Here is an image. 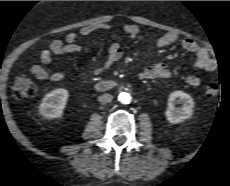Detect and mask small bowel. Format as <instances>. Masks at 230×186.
Returning a JSON list of instances; mask_svg holds the SVG:
<instances>
[{"label": "small bowel", "instance_id": "obj_1", "mask_svg": "<svg viewBox=\"0 0 230 186\" xmlns=\"http://www.w3.org/2000/svg\"><path fill=\"white\" fill-rule=\"evenodd\" d=\"M112 26L110 24L89 25L80 29L79 34L82 36L89 35L97 30H109ZM124 33L130 37L139 35L140 30L134 24H127L123 28ZM78 34L70 32L66 35L64 40H54L44 49L39 57L40 63L32 66L31 73L40 80L49 79L52 83H59L66 78V73L55 72L50 73L46 68L56 55H61L69 52L80 51L81 47L77 44ZM179 36L176 33H165L155 40L157 47H166L176 43ZM181 47L194 54L193 65L195 68L205 71L213 72L217 68V62L210 56L208 50L195 42L192 39H182ZM123 56V50L118 43L110 46L108 57L106 61L94 69V74L99 75L109 70L115 63H117ZM140 79L143 80H170L173 77L172 72L161 62H154L150 67L146 68L139 74ZM187 84L190 86H199L201 80L199 77L190 75L186 78Z\"/></svg>", "mask_w": 230, "mask_h": 186}]
</instances>
